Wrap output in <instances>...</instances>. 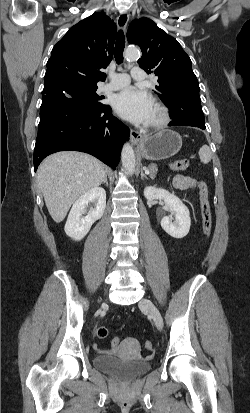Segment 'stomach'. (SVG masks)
Returning a JSON list of instances; mask_svg holds the SVG:
<instances>
[{"mask_svg": "<svg viewBox=\"0 0 250 413\" xmlns=\"http://www.w3.org/2000/svg\"><path fill=\"white\" fill-rule=\"evenodd\" d=\"M181 147L182 137L177 132L167 129L143 137L138 144V152L147 160H162L177 154Z\"/></svg>", "mask_w": 250, "mask_h": 413, "instance_id": "1", "label": "stomach"}]
</instances>
